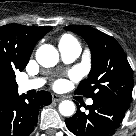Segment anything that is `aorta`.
<instances>
[{
	"instance_id": "1",
	"label": "aorta",
	"mask_w": 136,
	"mask_h": 136,
	"mask_svg": "<svg viewBox=\"0 0 136 136\" xmlns=\"http://www.w3.org/2000/svg\"><path fill=\"white\" fill-rule=\"evenodd\" d=\"M36 60L43 67H53L58 63L59 53L57 49L49 44L40 46L36 51ZM59 112L66 117H70L75 112V104L65 100L59 104Z\"/></svg>"
}]
</instances>
